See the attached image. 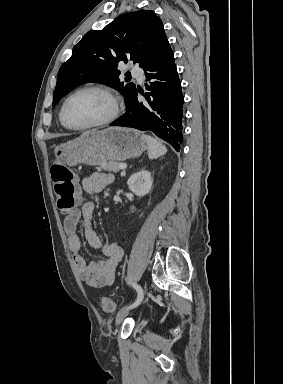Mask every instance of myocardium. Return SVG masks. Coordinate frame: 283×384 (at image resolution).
Returning a JSON list of instances; mask_svg holds the SVG:
<instances>
[{"label":"myocardium","instance_id":"1","mask_svg":"<svg viewBox=\"0 0 283 384\" xmlns=\"http://www.w3.org/2000/svg\"><path fill=\"white\" fill-rule=\"evenodd\" d=\"M84 92H96V93H99V94L105 96L106 99L108 100L109 104H110L109 113L105 117H103V118H101L95 122H92L90 124L80 126V127H71V126L67 125L65 122V118H64L65 108L67 106V103L69 102V100L72 97H74L78 94L84 93ZM118 115H119V101H118L116 95L114 94V92L110 88H108L106 86H102V85H87V86H83V87L76 89L75 91L71 92L65 98V100L61 106V110H60V122H61L62 126L64 128H66L67 130L85 131V130H89V129H93V128H97V127H101V126L110 124L116 120Z\"/></svg>","mask_w":283,"mask_h":384}]
</instances>
